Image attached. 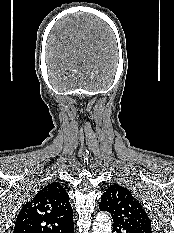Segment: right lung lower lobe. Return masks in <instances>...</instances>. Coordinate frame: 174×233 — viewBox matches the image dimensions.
<instances>
[{
	"label": "right lung lower lobe",
	"mask_w": 174,
	"mask_h": 233,
	"mask_svg": "<svg viewBox=\"0 0 174 233\" xmlns=\"http://www.w3.org/2000/svg\"><path fill=\"white\" fill-rule=\"evenodd\" d=\"M68 233H74L73 227L68 231Z\"/></svg>",
	"instance_id": "98d812e1"
}]
</instances>
